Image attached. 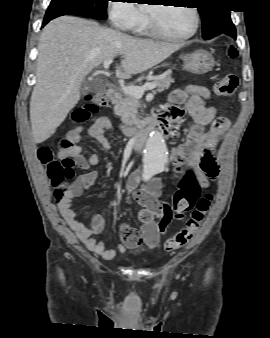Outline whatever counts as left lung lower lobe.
<instances>
[{"instance_id":"1","label":"left lung lower lobe","mask_w":270,"mask_h":338,"mask_svg":"<svg viewBox=\"0 0 270 338\" xmlns=\"http://www.w3.org/2000/svg\"><path fill=\"white\" fill-rule=\"evenodd\" d=\"M225 34H228V35L232 36L234 39H236V30H235V27H233L230 30H228L227 33H225Z\"/></svg>"}]
</instances>
